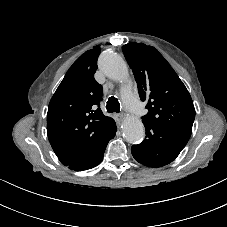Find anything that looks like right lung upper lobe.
I'll list each match as a JSON object with an SVG mask.
<instances>
[{
	"label": "right lung upper lobe",
	"instance_id": "1",
	"mask_svg": "<svg viewBox=\"0 0 227 227\" xmlns=\"http://www.w3.org/2000/svg\"><path fill=\"white\" fill-rule=\"evenodd\" d=\"M99 54V46L82 54L69 68L49 103L48 139L66 166L95 152L114 121L99 108L103 89L94 79Z\"/></svg>",
	"mask_w": 227,
	"mask_h": 227
}]
</instances>
